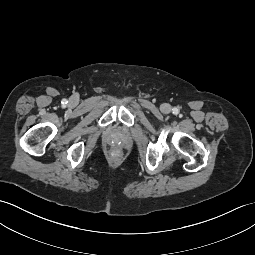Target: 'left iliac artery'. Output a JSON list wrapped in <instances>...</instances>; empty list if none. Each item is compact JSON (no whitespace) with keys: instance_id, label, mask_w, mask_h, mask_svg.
I'll use <instances>...</instances> for the list:
<instances>
[{"instance_id":"obj_1","label":"left iliac artery","mask_w":255,"mask_h":255,"mask_svg":"<svg viewBox=\"0 0 255 255\" xmlns=\"http://www.w3.org/2000/svg\"><path fill=\"white\" fill-rule=\"evenodd\" d=\"M178 112H179L178 108L174 107V108H173V113H174V114H178Z\"/></svg>"}]
</instances>
